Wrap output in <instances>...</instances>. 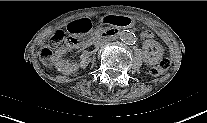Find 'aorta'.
Wrapping results in <instances>:
<instances>
[{"instance_id":"1","label":"aorta","mask_w":207,"mask_h":123,"mask_svg":"<svg viewBox=\"0 0 207 123\" xmlns=\"http://www.w3.org/2000/svg\"><path fill=\"white\" fill-rule=\"evenodd\" d=\"M122 41L126 44L132 45L136 42V36L131 31H125L121 35Z\"/></svg>"}]
</instances>
